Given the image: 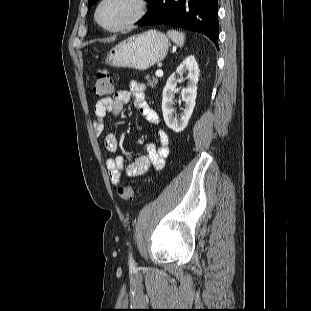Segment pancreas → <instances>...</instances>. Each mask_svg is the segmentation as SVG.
Listing matches in <instances>:
<instances>
[{
	"label": "pancreas",
	"mask_w": 311,
	"mask_h": 311,
	"mask_svg": "<svg viewBox=\"0 0 311 311\" xmlns=\"http://www.w3.org/2000/svg\"><path fill=\"white\" fill-rule=\"evenodd\" d=\"M146 79H147V81H148V85L149 86H151L152 88H155L156 87V84L158 83V80L156 79V78H152L151 79V77L149 76V75H147L146 76Z\"/></svg>",
	"instance_id": "obj_1"
}]
</instances>
